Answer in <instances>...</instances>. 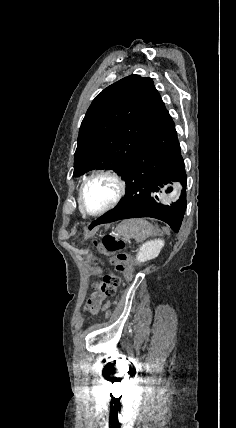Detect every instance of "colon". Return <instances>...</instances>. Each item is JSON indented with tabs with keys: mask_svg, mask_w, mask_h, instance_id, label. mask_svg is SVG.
I'll return each instance as SVG.
<instances>
[{
	"mask_svg": "<svg viewBox=\"0 0 236 428\" xmlns=\"http://www.w3.org/2000/svg\"><path fill=\"white\" fill-rule=\"evenodd\" d=\"M95 246L105 255L112 256L111 263L114 265L116 272L121 273L122 277L114 272L108 271L101 279L93 285L95 290L94 296L89 300V308L91 311H96L99 308L100 296H111L116 289L123 283L128 282L132 278V270L127 264V259L121 251L125 247V241L115 235H105L101 241H94ZM95 263L101 264V259H94Z\"/></svg>",
	"mask_w": 236,
	"mask_h": 428,
	"instance_id": "obj_1",
	"label": "colon"
}]
</instances>
